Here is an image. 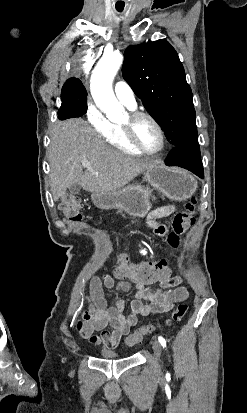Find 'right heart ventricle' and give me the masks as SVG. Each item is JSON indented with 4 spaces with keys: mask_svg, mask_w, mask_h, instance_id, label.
I'll return each instance as SVG.
<instances>
[{
    "mask_svg": "<svg viewBox=\"0 0 247 413\" xmlns=\"http://www.w3.org/2000/svg\"><path fill=\"white\" fill-rule=\"evenodd\" d=\"M109 145H115V151H121V154L141 157L143 153L135 149L126 138L124 129L121 125L109 126V131L104 133Z\"/></svg>",
    "mask_w": 247,
    "mask_h": 413,
    "instance_id": "right-heart-ventricle-1",
    "label": "right heart ventricle"
}]
</instances>
